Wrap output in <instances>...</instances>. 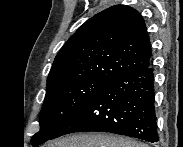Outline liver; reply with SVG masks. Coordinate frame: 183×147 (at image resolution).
Listing matches in <instances>:
<instances>
[{
	"mask_svg": "<svg viewBox=\"0 0 183 147\" xmlns=\"http://www.w3.org/2000/svg\"><path fill=\"white\" fill-rule=\"evenodd\" d=\"M47 147H148L136 140L111 134H75L49 143Z\"/></svg>",
	"mask_w": 183,
	"mask_h": 147,
	"instance_id": "obj_1",
	"label": "liver"
}]
</instances>
